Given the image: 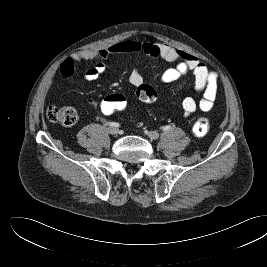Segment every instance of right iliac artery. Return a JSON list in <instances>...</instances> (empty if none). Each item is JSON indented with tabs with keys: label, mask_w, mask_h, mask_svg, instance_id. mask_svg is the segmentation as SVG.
<instances>
[{
	"label": "right iliac artery",
	"mask_w": 267,
	"mask_h": 267,
	"mask_svg": "<svg viewBox=\"0 0 267 267\" xmlns=\"http://www.w3.org/2000/svg\"><path fill=\"white\" fill-rule=\"evenodd\" d=\"M106 125H109L111 127H119L120 126V124L116 123V122H108V123H106Z\"/></svg>",
	"instance_id": "right-iliac-artery-1"
}]
</instances>
